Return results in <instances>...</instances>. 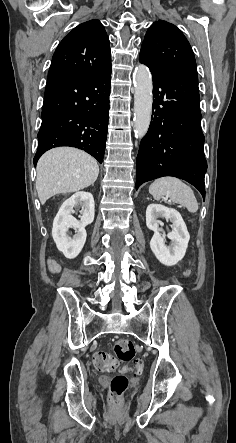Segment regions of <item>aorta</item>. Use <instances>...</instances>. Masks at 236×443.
Listing matches in <instances>:
<instances>
[{
  "label": "aorta",
  "instance_id": "762f6f07",
  "mask_svg": "<svg viewBox=\"0 0 236 443\" xmlns=\"http://www.w3.org/2000/svg\"><path fill=\"white\" fill-rule=\"evenodd\" d=\"M134 124L137 137L143 138L149 128L152 113V77L147 66L138 65L134 75Z\"/></svg>",
  "mask_w": 236,
  "mask_h": 443
}]
</instances>
